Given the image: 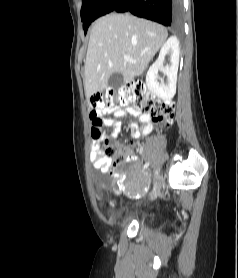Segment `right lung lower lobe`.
Instances as JSON below:
<instances>
[{"instance_id": "obj_1", "label": "right lung lower lobe", "mask_w": 238, "mask_h": 278, "mask_svg": "<svg viewBox=\"0 0 238 278\" xmlns=\"http://www.w3.org/2000/svg\"><path fill=\"white\" fill-rule=\"evenodd\" d=\"M182 0H100L89 13L90 25L109 12H131L164 26L178 27L182 22Z\"/></svg>"}]
</instances>
